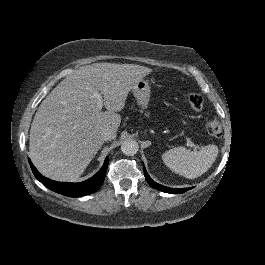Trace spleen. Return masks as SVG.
Returning <instances> with one entry per match:
<instances>
[{"mask_svg": "<svg viewBox=\"0 0 265 265\" xmlns=\"http://www.w3.org/2000/svg\"><path fill=\"white\" fill-rule=\"evenodd\" d=\"M217 155L216 145L202 147L199 151H190L181 146L163 153L162 160L175 173L195 179L208 171Z\"/></svg>", "mask_w": 265, "mask_h": 265, "instance_id": "obj_1", "label": "spleen"}]
</instances>
